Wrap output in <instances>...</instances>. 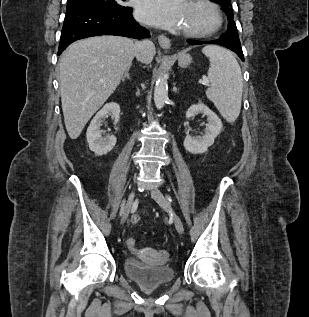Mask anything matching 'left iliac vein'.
<instances>
[{"mask_svg": "<svg viewBox=\"0 0 309 317\" xmlns=\"http://www.w3.org/2000/svg\"><path fill=\"white\" fill-rule=\"evenodd\" d=\"M151 196L164 210L170 213V215L173 218V222H174L176 230L178 231L179 234H183L184 233L183 223L181 219L179 218V216L174 213L171 205L166 200L163 193L158 188L154 187L151 190Z\"/></svg>", "mask_w": 309, "mask_h": 317, "instance_id": "1", "label": "left iliac vein"}]
</instances>
